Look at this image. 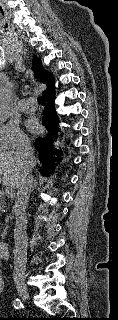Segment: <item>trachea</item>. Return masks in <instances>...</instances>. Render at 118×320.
I'll use <instances>...</instances> for the list:
<instances>
[{"label":"trachea","instance_id":"3493384b","mask_svg":"<svg viewBox=\"0 0 118 320\" xmlns=\"http://www.w3.org/2000/svg\"><path fill=\"white\" fill-rule=\"evenodd\" d=\"M38 103L41 104V105H45V99H44V97H39V98H38Z\"/></svg>","mask_w":118,"mask_h":320}]
</instances>
